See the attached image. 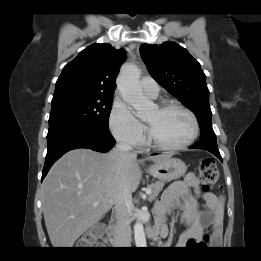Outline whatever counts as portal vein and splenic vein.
<instances>
[{
  "mask_svg": "<svg viewBox=\"0 0 261 261\" xmlns=\"http://www.w3.org/2000/svg\"><path fill=\"white\" fill-rule=\"evenodd\" d=\"M145 192H146V194L150 195L151 194V189L147 188Z\"/></svg>",
  "mask_w": 261,
  "mask_h": 261,
  "instance_id": "obj_1",
  "label": "portal vein and splenic vein"
}]
</instances>
